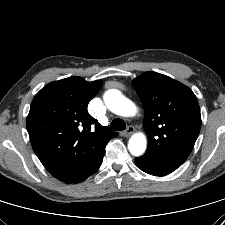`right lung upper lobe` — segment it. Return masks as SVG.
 I'll use <instances>...</instances> for the list:
<instances>
[{
  "instance_id": "cb5924a9",
  "label": "right lung upper lobe",
  "mask_w": 225,
  "mask_h": 225,
  "mask_svg": "<svg viewBox=\"0 0 225 225\" xmlns=\"http://www.w3.org/2000/svg\"><path fill=\"white\" fill-rule=\"evenodd\" d=\"M101 85V80L65 78L44 86L31 103L26 125L33 150L61 181L92 167L102 146L117 135L87 112Z\"/></svg>"
}]
</instances>
